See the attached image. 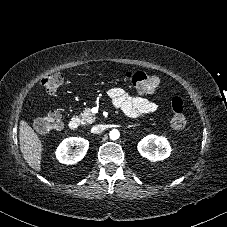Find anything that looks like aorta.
<instances>
[{"label":"aorta","instance_id":"obj_1","mask_svg":"<svg viewBox=\"0 0 227 227\" xmlns=\"http://www.w3.org/2000/svg\"><path fill=\"white\" fill-rule=\"evenodd\" d=\"M109 136L112 140H117L120 137V132L116 129L110 131Z\"/></svg>","mask_w":227,"mask_h":227}]
</instances>
